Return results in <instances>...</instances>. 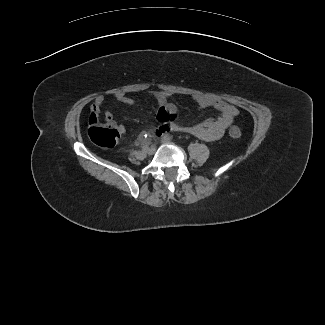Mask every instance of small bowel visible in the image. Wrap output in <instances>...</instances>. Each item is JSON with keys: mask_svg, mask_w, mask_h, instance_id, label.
I'll list each match as a JSON object with an SVG mask.
<instances>
[{"mask_svg": "<svg viewBox=\"0 0 325 325\" xmlns=\"http://www.w3.org/2000/svg\"><path fill=\"white\" fill-rule=\"evenodd\" d=\"M112 95L114 99L126 105H134L136 103L134 98L129 97L124 92L118 91ZM152 95L159 105L157 114V118L161 122V127L157 130L159 133L171 130L189 133L205 141H215L223 136L238 114L237 108L232 104L213 96L195 94L192 95V99L201 108H213L219 112V116L215 119H207L199 124L184 125L177 121V106L170 102V98L175 95L173 92L154 91ZM105 99L104 95L97 96L91 107V112L100 113ZM104 117L111 119L112 113L105 111ZM118 130L120 134H125L126 130L123 126H119Z\"/></svg>", "mask_w": 325, "mask_h": 325, "instance_id": "c3829d8e", "label": "small bowel"}]
</instances>
